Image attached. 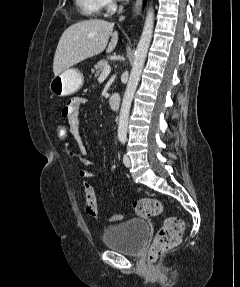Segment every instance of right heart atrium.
I'll use <instances>...</instances> for the list:
<instances>
[{
  "label": "right heart atrium",
  "mask_w": 240,
  "mask_h": 287,
  "mask_svg": "<svg viewBox=\"0 0 240 287\" xmlns=\"http://www.w3.org/2000/svg\"><path fill=\"white\" fill-rule=\"evenodd\" d=\"M102 8L107 10L108 12L115 8L116 0H101Z\"/></svg>",
  "instance_id": "1"
}]
</instances>
